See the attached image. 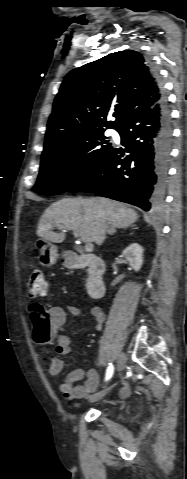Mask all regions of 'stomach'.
<instances>
[{
	"instance_id": "0dacf381",
	"label": "stomach",
	"mask_w": 187,
	"mask_h": 479,
	"mask_svg": "<svg viewBox=\"0 0 187 479\" xmlns=\"http://www.w3.org/2000/svg\"><path fill=\"white\" fill-rule=\"evenodd\" d=\"M36 248L39 251V261L43 266L53 265L58 257L57 247L44 239L36 241Z\"/></svg>"
}]
</instances>
